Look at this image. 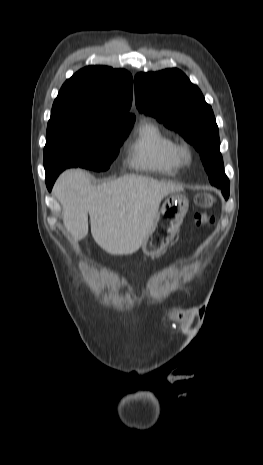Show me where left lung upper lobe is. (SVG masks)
<instances>
[{
  "label": "left lung upper lobe",
  "mask_w": 263,
  "mask_h": 465,
  "mask_svg": "<svg viewBox=\"0 0 263 465\" xmlns=\"http://www.w3.org/2000/svg\"><path fill=\"white\" fill-rule=\"evenodd\" d=\"M135 101L140 112L179 132L201 157L211 155L220 161L213 185L228 199L229 180L224 173L218 127L199 88L176 68L139 73L135 76Z\"/></svg>",
  "instance_id": "left-lung-upper-lobe-1"
}]
</instances>
